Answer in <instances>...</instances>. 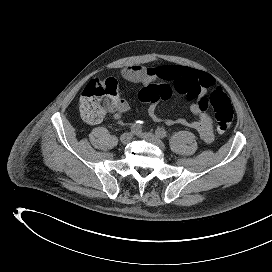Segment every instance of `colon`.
<instances>
[{
    "label": "colon",
    "instance_id": "1",
    "mask_svg": "<svg viewBox=\"0 0 272 272\" xmlns=\"http://www.w3.org/2000/svg\"><path fill=\"white\" fill-rule=\"evenodd\" d=\"M174 91L171 84L152 83L141 89L139 99L144 103H157L169 99ZM117 97L118 86L114 79L91 80L84 87L79 100L82 118L90 124L100 122L113 107ZM209 104L214 111L218 131H227L234 119V110L228 96L221 88H214L209 95Z\"/></svg>",
    "mask_w": 272,
    "mask_h": 272
}]
</instances>
